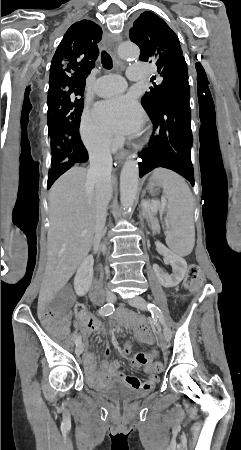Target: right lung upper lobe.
Returning <instances> with one entry per match:
<instances>
[{
	"mask_svg": "<svg viewBox=\"0 0 241 450\" xmlns=\"http://www.w3.org/2000/svg\"><path fill=\"white\" fill-rule=\"evenodd\" d=\"M101 38V27L90 20L76 22L67 30L51 62L48 97L64 88L84 90Z\"/></svg>",
	"mask_w": 241,
	"mask_h": 450,
	"instance_id": "cb5924a9",
	"label": "right lung upper lobe"
}]
</instances>
